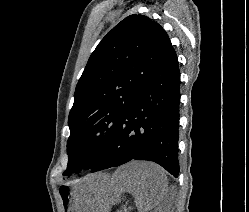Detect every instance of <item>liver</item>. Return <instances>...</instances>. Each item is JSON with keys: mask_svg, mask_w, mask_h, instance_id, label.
Wrapping results in <instances>:
<instances>
[{"mask_svg": "<svg viewBox=\"0 0 249 212\" xmlns=\"http://www.w3.org/2000/svg\"><path fill=\"white\" fill-rule=\"evenodd\" d=\"M98 178L104 198L102 212H110L126 192L135 198L138 212H149L159 206L166 194L165 170L153 162L133 160L117 168L114 174H99Z\"/></svg>", "mask_w": 249, "mask_h": 212, "instance_id": "obj_1", "label": "liver"}]
</instances>
